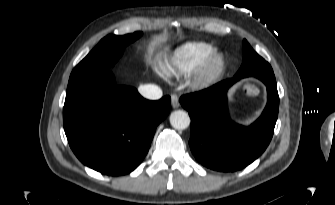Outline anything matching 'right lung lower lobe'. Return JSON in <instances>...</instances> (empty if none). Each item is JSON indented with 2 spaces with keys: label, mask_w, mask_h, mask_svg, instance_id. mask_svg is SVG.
<instances>
[{
  "label": "right lung lower lobe",
  "mask_w": 335,
  "mask_h": 205,
  "mask_svg": "<svg viewBox=\"0 0 335 205\" xmlns=\"http://www.w3.org/2000/svg\"><path fill=\"white\" fill-rule=\"evenodd\" d=\"M171 98L144 99L117 86L108 69L68 83L63 125L68 143L86 166L106 175L130 173L147 154Z\"/></svg>",
  "instance_id": "right-lung-lower-lobe-1"
}]
</instances>
